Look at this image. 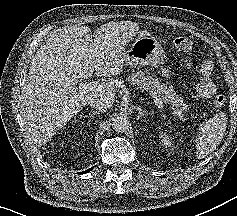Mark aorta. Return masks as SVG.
I'll return each mask as SVG.
<instances>
[{
	"label": "aorta",
	"instance_id": "aorta-1",
	"mask_svg": "<svg viewBox=\"0 0 237 216\" xmlns=\"http://www.w3.org/2000/svg\"><path fill=\"white\" fill-rule=\"evenodd\" d=\"M128 120L123 115H116L112 120V128L117 132H124L128 127Z\"/></svg>",
	"mask_w": 237,
	"mask_h": 216
}]
</instances>
